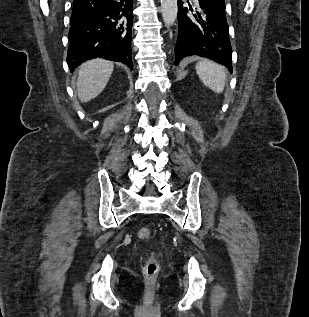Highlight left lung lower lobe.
I'll use <instances>...</instances> for the list:
<instances>
[{
    "instance_id": "left-lung-lower-lobe-1",
    "label": "left lung lower lobe",
    "mask_w": 309,
    "mask_h": 317,
    "mask_svg": "<svg viewBox=\"0 0 309 317\" xmlns=\"http://www.w3.org/2000/svg\"><path fill=\"white\" fill-rule=\"evenodd\" d=\"M178 0V38L175 46V65L190 55L212 59L232 72V47L229 40L225 4L212 0H197L193 12Z\"/></svg>"
}]
</instances>
